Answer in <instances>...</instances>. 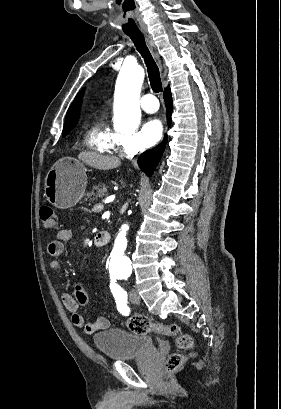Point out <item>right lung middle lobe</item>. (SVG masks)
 <instances>
[{"mask_svg":"<svg viewBox=\"0 0 281 409\" xmlns=\"http://www.w3.org/2000/svg\"><path fill=\"white\" fill-rule=\"evenodd\" d=\"M74 127H75V125L64 126L63 133H62L63 137H65Z\"/></svg>","mask_w":281,"mask_h":409,"instance_id":"obj_1","label":"right lung middle lobe"}]
</instances>
